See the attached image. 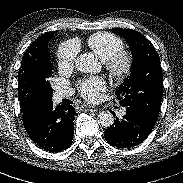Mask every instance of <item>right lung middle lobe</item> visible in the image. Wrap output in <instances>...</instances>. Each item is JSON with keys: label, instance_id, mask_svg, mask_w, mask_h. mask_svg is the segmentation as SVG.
I'll return each instance as SVG.
<instances>
[{"label": "right lung middle lobe", "instance_id": "dd1d6c3e", "mask_svg": "<svg viewBox=\"0 0 183 183\" xmlns=\"http://www.w3.org/2000/svg\"><path fill=\"white\" fill-rule=\"evenodd\" d=\"M52 69L53 65L48 47H46L33 66L18 77V95L21 107L32 102L52 99L53 89L49 82Z\"/></svg>", "mask_w": 183, "mask_h": 183}]
</instances>
